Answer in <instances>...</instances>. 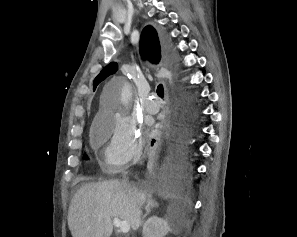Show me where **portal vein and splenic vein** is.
<instances>
[{
	"instance_id": "portal-vein-and-splenic-vein-1",
	"label": "portal vein and splenic vein",
	"mask_w": 297,
	"mask_h": 237,
	"mask_svg": "<svg viewBox=\"0 0 297 237\" xmlns=\"http://www.w3.org/2000/svg\"><path fill=\"white\" fill-rule=\"evenodd\" d=\"M113 224L119 228V230L126 234L130 231V224L127 221H122L119 218H114L113 219Z\"/></svg>"
}]
</instances>
